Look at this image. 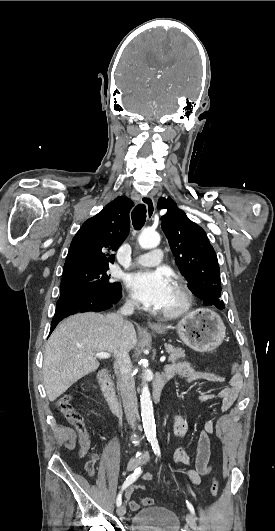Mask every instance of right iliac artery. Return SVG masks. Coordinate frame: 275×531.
Listing matches in <instances>:
<instances>
[{
	"label": "right iliac artery",
	"instance_id": "1",
	"mask_svg": "<svg viewBox=\"0 0 275 531\" xmlns=\"http://www.w3.org/2000/svg\"><path fill=\"white\" fill-rule=\"evenodd\" d=\"M142 473V470H141V467H138L134 473H132L131 475H129L126 480L124 481L123 485H122V490H124L125 488H127L130 484H132L134 481H136L138 479V477L140 476V474ZM122 503V498H121V493L117 496V500H116V504L117 506L119 507Z\"/></svg>",
	"mask_w": 275,
	"mask_h": 531
}]
</instances>
